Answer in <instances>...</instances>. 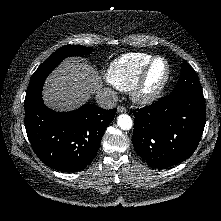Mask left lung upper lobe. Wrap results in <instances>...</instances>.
Listing matches in <instances>:
<instances>
[{
    "instance_id": "left-lung-upper-lobe-1",
    "label": "left lung upper lobe",
    "mask_w": 221,
    "mask_h": 221,
    "mask_svg": "<svg viewBox=\"0 0 221 221\" xmlns=\"http://www.w3.org/2000/svg\"><path fill=\"white\" fill-rule=\"evenodd\" d=\"M181 71L182 75L172 93H188L196 96H203L199 78L186 61L183 62Z\"/></svg>"
}]
</instances>
